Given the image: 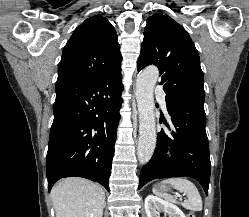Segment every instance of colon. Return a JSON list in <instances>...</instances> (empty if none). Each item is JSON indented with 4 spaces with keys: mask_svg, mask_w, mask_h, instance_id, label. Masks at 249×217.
I'll return each mask as SVG.
<instances>
[{
    "mask_svg": "<svg viewBox=\"0 0 249 217\" xmlns=\"http://www.w3.org/2000/svg\"><path fill=\"white\" fill-rule=\"evenodd\" d=\"M187 217H196L194 213L190 212Z\"/></svg>",
    "mask_w": 249,
    "mask_h": 217,
    "instance_id": "obj_1",
    "label": "colon"
}]
</instances>
